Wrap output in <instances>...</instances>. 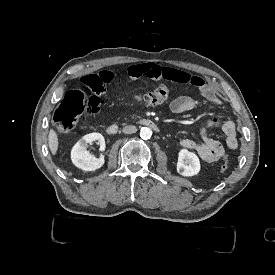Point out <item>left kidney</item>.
Instances as JSON below:
<instances>
[{
  "instance_id": "obj_1",
  "label": "left kidney",
  "mask_w": 275,
  "mask_h": 275,
  "mask_svg": "<svg viewBox=\"0 0 275 275\" xmlns=\"http://www.w3.org/2000/svg\"><path fill=\"white\" fill-rule=\"evenodd\" d=\"M187 160V164L184 160ZM201 170V164L199 157L189 152L186 148H182L178 152V161L176 164V171L183 177H193L199 174Z\"/></svg>"
}]
</instances>
